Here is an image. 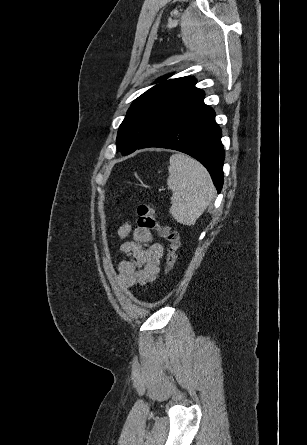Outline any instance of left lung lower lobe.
<instances>
[{
  "label": "left lung lower lobe",
  "instance_id": "obj_1",
  "mask_svg": "<svg viewBox=\"0 0 307 445\" xmlns=\"http://www.w3.org/2000/svg\"><path fill=\"white\" fill-rule=\"evenodd\" d=\"M214 118L213 109L202 101L147 138L137 149L168 148L194 157L207 168L220 193L225 153L221 130Z\"/></svg>",
  "mask_w": 307,
  "mask_h": 445
}]
</instances>
